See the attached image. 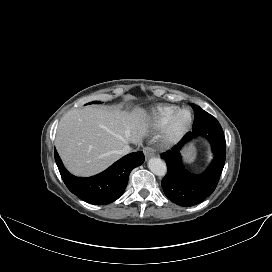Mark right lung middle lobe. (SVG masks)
I'll use <instances>...</instances> for the list:
<instances>
[{
  "label": "right lung middle lobe",
  "mask_w": 272,
  "mask_h": 272,
  "mask_svg": "<svg viewBox=\"0 0 272 272\" xmlns=\"http://www.w3.org/2000/svg\"><path fill=\"white\" fill-rule=\"evenodd\" d=\"M91 103H97V101H94V102H91ZM91 103H88V104H91Z\"/></svg>",
  "instance_id": "dd1d6c3e"
}]
</instances>
